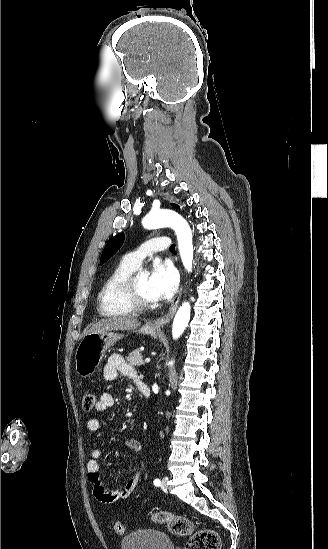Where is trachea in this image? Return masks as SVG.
<instances>
[{
	"instance_id": "obj_1",
	"label": "trachea",
	"mask_w": 328,
	"mask_h": 549,
	"mask_svg": "<svg viewBox=\"0 0 328 549\" xmlns=\"http://www.w3.org/2000/svg\"><path fill=\"white\" fill-rule=\"evenodd\" d=\"M170 250L175 251V244H172V245L170 246Z\"/></svg>"
}]
</instances>
